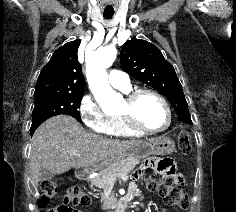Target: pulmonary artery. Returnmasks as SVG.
Masks as SVG:
<instances>
[{"instance_id":"1","label":"pulmonary artery","mask_w":236,"mask_h":212,"mask_svg":"<svg viewBox=\"0 0 236 212\" xmlns=\"http://www.w3.org/2000/svg\"><path fill=\"white\" fill-rule=\"evenodd\" d=\"M108 80L111 86L118 89H125L130 86V79L128 75L120 70H110Z\"/></svg>"}]
</instances>
